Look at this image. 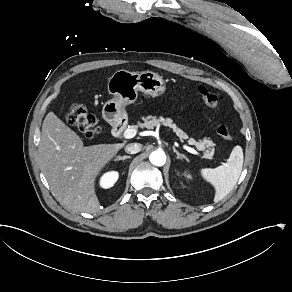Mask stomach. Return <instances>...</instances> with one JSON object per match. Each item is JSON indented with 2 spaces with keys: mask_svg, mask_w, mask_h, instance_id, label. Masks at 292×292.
I'll return each instance as SVG.
<instances>
[{
  "mask_svg": "<svg viewBox=\"0 0 292 292\" xmlns=\"http://www.w3.org/2000/svg\"><path fill=\"white\" fill-rule=\"evenodd\" d=\"M108 91L114 98L104 104L102 116L109 124L116 125L127 117L125 107L137 100L139 91L156 98L166 92V83L162 76L150 70H119L109 78Z\"/></svg>",
  "mask_w": 292,
  "mask_h": 292,
  "instance_id": "stomach-1",
  "label": "stomach"
}]
</instances>
